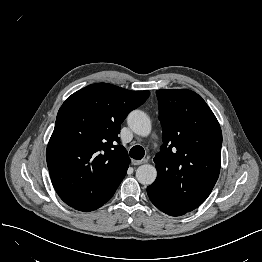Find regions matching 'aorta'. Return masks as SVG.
<instances>
[{"mask_svg": "<svg viewBox=\"0 0 262 262\" xmlns=\"http://www.w3.org/2000/svg\"><path fill=\"white\" fill-rule=\"evenodd\" d=\"M128 126L137 135L148 136L151 132V121L146 113L133 110L127 117ZM157 177V170L153 165L144 164L137 168L136 178L143 185L152 184Z\"/></svg>", "mask_w": 262, "mask_h": 262, "instance_id": "1", "label": "aorta"}]
</instances>
